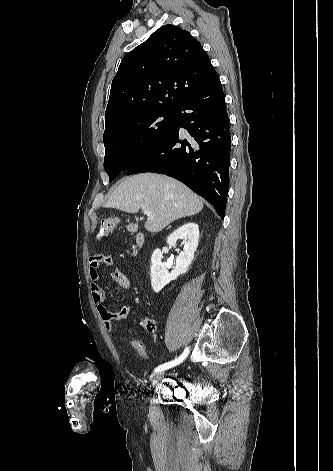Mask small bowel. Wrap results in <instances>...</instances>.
<instances>
[{"instance_id": "small-bowel-1", "label": "small bowel", "mask_w": 333, "mask_h": 471, "mask_svg": "<svg viewBox=\"0 0 333 471\" xmlns=\"http://www.w3.org/2000/svg\"><path fill=\"white\" fill-rule=\"evenodd\" d=\"M114 262L115 259L110 254H97L89 258L91 295L93 302L97 307L99 316L107 331L112 330L114 321H121L125 319L130 312V306L128 304L123 305L122 308L117 312L110 311L104 304V291L99 284V268L102 266L113 265ZM110 276L113 281L121 288L125 290H128L130 288V279L120 266H117L114 271L110 272Z\"/></svg>"}]
</instances>
